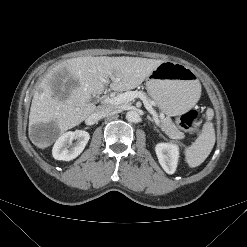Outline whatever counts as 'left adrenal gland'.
<instances>
[{
  "mask_svg": "<svg viewBox=\"0 0 247 247\" xmlns=\"http://www.w3.org/2000/svg\"><path fill=\"white\" fill-rule=\"evenodd\" d=\"M147 119L151 122H154V119H152L149 115L147 116Z\"/></svg>",
  "mask_w": 247,
  "mask_h": 247,
  "instance_id": "1",
  "label": "left adrenal gland"
}]
</instances>
